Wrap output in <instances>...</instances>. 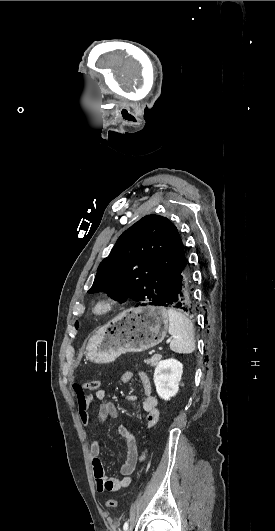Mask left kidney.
Returning <instances> with one entry per match:
<instances>
[{
  "label": "left kidney",
  "mask_w": 275,
  "mask_h": 531,
  "mask_svg": "<svg viewBox=\"0 0 275 531\" xmlns=\"http://www.w3.org/2000/svg\"><path fill=\"white\" fill-rule=\"evenodd\" d=\"M183 373V365L176 359L159 361L154 371L156 391L164 401H170L179 391V383Z\"/></svg>",
  "instance_id": "left-kidney-1"
}]
</instances>
